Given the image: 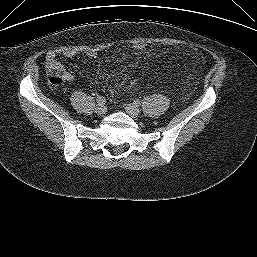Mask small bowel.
<instances>
[{
  "mask_svg": "<svg viewBox=\"0 0 257 257\" xmlns=\"http://www.w3.org/2000/svg\"><path fill=\"white\" fill-rule=\"evenodd\" d=\"M58 55H62L65 58H77V57H85L89 59H95L97 57V52L95 51H77V50H50L46 54L47 64L54 62ZM68 78H71L69 75Z\"/></svg>",
  "mask_w": 257,
  "mask_h": 257,
  "instance_id": "small-bowel-1",
  "label": "small bowel"
}]
</instances>
